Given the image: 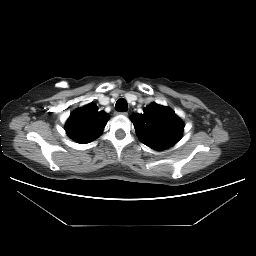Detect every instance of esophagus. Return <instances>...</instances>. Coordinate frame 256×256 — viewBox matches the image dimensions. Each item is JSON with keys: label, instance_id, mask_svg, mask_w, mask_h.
<instances>
[{"label": "esophagus", "instance_id": "1", "mask_svg": "<svg viewBox=\"0 0 256 256\" xmlns=\"http://www.w3.org/2000/svg\"><path fill=\"white\" fill-rule=\"evenodd\" d=\"M121 114L124 115V116H127V115H128L127 112H123V113H121Z\"/></svg>", "mask_w": 256, "mask_h": 256}]
</instances>
